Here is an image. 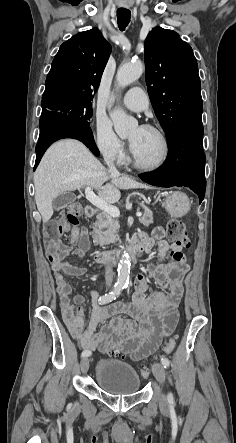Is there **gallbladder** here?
I'll use <instances>...</instances> for the list:
<instances>
[{
    "label": "gallbladder",
    "instance_id": "bac80fb5",
    "mask_svg": "<svg viewBox=\"0 0 236 443\" xmlns=\"http://www.w3.org/2000/svg\"><path fill=\"white\" fill-rule=\"evenodd\" d=\"M76 200V196L74 193L70 191H66L63 193H60L53 199V207L55 210H60L67 206L70 203H73Z\"/></svg>",
    "mask_w": 236,
    "mask_h": 443
}]
</instances>
